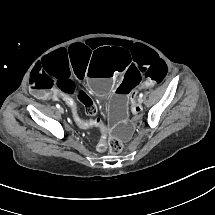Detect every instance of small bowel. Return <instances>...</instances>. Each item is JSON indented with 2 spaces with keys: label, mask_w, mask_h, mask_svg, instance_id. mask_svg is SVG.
I'll use <instances>...</instances> for the list:
<instances>
[{
  "label": "small bowel",
  "mask_w": 215,
  "mask_h": 215,
  "mask_svg": "<svg viewBox=\"0 0 215 215\" xmlns=\"http://www.w3.org/2000/svg\"><path fill=\"white\" fill-rule=\"evenodd\" d=\"M61 98H62V100L63 101H65L66 102V100H67V98L69 97L67 94H65V93H60V95H59ZM134 112V111H133ZM135 113V112H134ZM93 126H95V127H97L96 126V121H89V127H93ZM99 149V148H98ZM104 149H99V151H103Z\"/></svg>",
  "instance_id": "obj_1"
}]
</instances>
